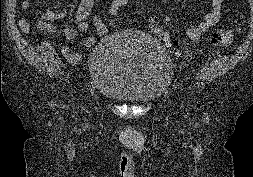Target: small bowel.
I'll list each match as a JSON object with an SVG mask.
<instances>
[{"label":"small bowel","mask_w":253,"mask_h":177,"mask_svg":"<svg viewBox=\"0 0 253 177\" xmlns=\"http://www.w3.org/2000/svg\"><path fill=\"white\" fill-rule=\"evenodd\" d=\"M167 1V0H164ZM224 0H211V5L209 9L205 12L204 17L200 23L195 27H190L186 30V36L190 41H198L205 33H207L212 27L219 24L222 18V4ZM95 4V0H80L79 7L76 12V21L77 28L75 27H65L61 33L63 37L68 41H74L78 37V32H88L91 28H93V32L84 40V46L86 48H91L96 43V36L103 37L106 36L109 31L107 30L102 17L98 14H95L92 18V24L90 25L88 22V18L92 13L93 6ZM32 6V0H24L22 3V7L24 9H29ZM70 3L68 0L63 5L61 11L55 12L51 10L45 11L40 17V23L44 26L48 31L53 34L58 33V29L50 24L55 20H59L64 18L69 11ZM19 27L27 32L29 31L28 22L22 18L19 20ZM60 52L64 56V58L71 62L75 63L79 61L81 55L77 52L72 51L67 46H60Z\"/></svg>","instance_id":"c3829d8e"}]
</instances>
